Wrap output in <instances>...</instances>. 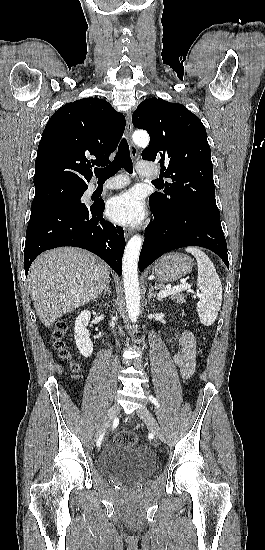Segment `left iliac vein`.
I'll list each match as a JSON object with an SVG mask.
<instances>
[{
	"label": "left iliac vein",
	"mask_w": 265,
	"mask_h": 550,
	"mask_svg": "<svg viewBox=\"0 0 265 550\" xmlns=\"http://www.w3.org/2000/svg\"><path fill=\"white\" fill-rule=\"evenodd\" d=\"M137 415L146 423L157 439L164 441V435L156 419L145 406L137 410Z\"/></svg>",
	"instance_id": "1"
}]
</instances>
